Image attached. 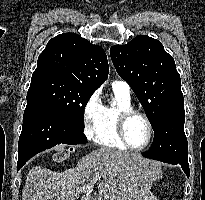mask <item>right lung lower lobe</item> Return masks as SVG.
<instances>
[{
    "mask_svg": "<svg viewBox=\"0 0 205 200\" xmlns=\"http://www.w3.org/2000/svg\"><path fill=\"white\" fill-rule=\"evenodd\" d=\"M87 138L52 108L37 102H27L19 137L17 171L34 155L60 144H84Z\"/></svg>",
    "mask_w": 205,
    "mask_h": 200,
    "instance_id": "98d812e1",
    "label": "right lung lower lobe"
}]
</instances>
